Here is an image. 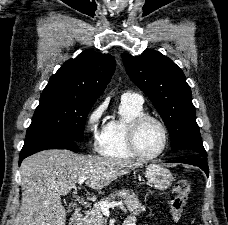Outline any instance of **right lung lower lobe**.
Segmentation results:
<instances>
[{
  "label": "right lung lower lobe",
  "instance_id": "98d812e1",
  "mask_svg": "<svg viewBox=\"0 0 228 225\" xmlns=\"http://www.w3.org/2000/svg\"><path fill=\"white\" fill-rule=\"evenodd\" d=\"M75 142L76 141L69 137L59 135H40L26 138L24 146L20 152L19 165L24 158L46 149H68L79 151Z\"/></svg>",
  "mask_w": 228,
  "mask_h": 225
}]
</instances>
